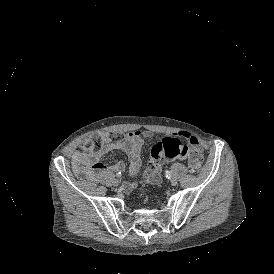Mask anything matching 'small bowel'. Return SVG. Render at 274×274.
Instances as JSON below:
<instances>
[{
	"label": "small bowel",
	"mask_w": 274,
	"mask_h": 274,
	"mask_svg": "<svg viewBox=\"0 0 274 274\" xmlns=\"http://www.w3.org/2000/svg\"><path fill=\"white\" fill-rule=\"evenodd\" d=\"M178 135L188 140L191 150H198L202 154L201 144L197 137L185 131L178 132ZM152 136L153 134L149 130H133L116 141L108 140L99 152L87 153L84 151H76L72 155L74 172L79 176L85 177L87 180H92L95 176L107 170V167L100 161L101 157L111 151L120 150L126 152L129 156L128 172L130 176H136L141 172V150L144 139L151 138ZM184 138L176 136H169L167 138L164 134H157L154 137V143L150 150L151 168L144 173L142 177L143 183H160L162 167L174 162L187 148V141ZM165 146L168 148L166 151ZM124 167L125 161L119 160L110 169L118 171ZM135 187L136 183L134 181L125 184L127 191H131Z\"/></svg>",
	"instance_id": "c3829d8e"
}]
</instances>
